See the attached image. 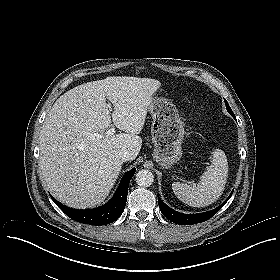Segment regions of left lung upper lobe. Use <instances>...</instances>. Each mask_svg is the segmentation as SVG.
<instances>
[{"mask_svg":"<svg viewBox=\"0 0 280 280\" xmlns=\"http://www.w3.org/2000/svg\"><path fill=\"white\" fill-rule=\"evenodd\" d=\"M225 100V99H224ZM225 105H226V109H227V111L229 112V114L233 117V118H235V115H234V113H233V111H232V109H231V107L229 106V104H228V102L225 100ZM236 119V118H235Z\"/></svg>","mask_w":280,"mask_h":280,"instance_id":"obj_1","label":"left lung upper lobe"}]
</instances>
